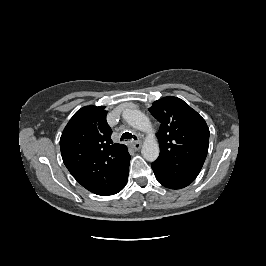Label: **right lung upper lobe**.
Listing matches in <instances>:
<instances>
[{"label":"right lung upper lobe","instance_id":"1","mask_svg":"<svg viewBox=\"0 0 266 266\" xmlns=\"http://www.w3.org/2000/svg\"><path fill=\"white\" fill-rule=\"evenodd\" d=\"M104 108L78 110L63 130L60 149L65 166L79 184L108 196L127 176L130 155L125 145L113 143Z\"/></svg>","mask_w":266,"mask_h":266}]
</instances>
